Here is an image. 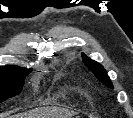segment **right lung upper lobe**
<instances>
[{
    "mask_svg": "<svg viewBox=\"0 0 133 118\" xmlns=\"http://www.w3.org/2000/svg\"><path fill=\"white\" fill-rule=\"evenodd\" d=\"M20 67H16V66H5V67H0V69H18Z\"/></svg>",
    "mask_w": 133,
    "mask_h": 118,
    "instance_id": "obj_1",
    "label": "right lung upper lobe"
}]
</instances>
